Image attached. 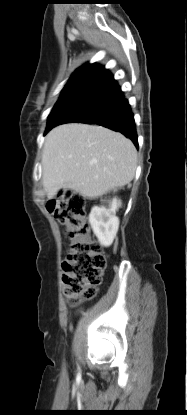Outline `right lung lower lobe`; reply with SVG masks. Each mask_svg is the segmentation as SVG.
Segmentation results:
<instances>
[{"label":"right lung lower lobe","instance_id":"right-lung-lower-lobe-1","mask_svg":"<svg viewBox=\"0 0 187 415\" xmlns=\"http://www.w3.org/2000/svg\"><path fill=\"white\" fill-rule=\"evenodd\" d=\"M70 122L98 124L130 138L138 148L134 116L113 75L104 67L80 80L49 115L46 133Z\"/></svg>","mask_w":187,"mask_h":415}]
</instances>
